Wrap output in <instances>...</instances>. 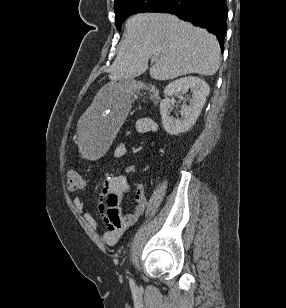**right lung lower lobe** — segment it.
I'll use <instances>...</instances> for the list:
<instances>
[{
  "label": "right lung lower lobe",
  "instance_id": "right-lung-lower-lobe-1",
  "mask_svg": "<svg viewBox=\"0 0 286 308\" xmlns=\"http://www.w3.org/2000/svg\"><path fill=\"white\" fill-rule=\"evenodd\" d=\"M152 12H167L210 30L224 50L228 9L226 0H168Z\"/></svg>",
  "mask_w": 286,
  "mask_h": 308
}]
</instances>
